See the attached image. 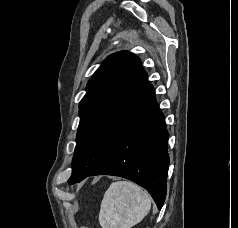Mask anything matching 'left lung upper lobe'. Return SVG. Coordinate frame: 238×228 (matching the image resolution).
<instances>
[{"label": "left lung upper lobe", "mask_w": 238, "mask_h": 228, "mask_svg": "<svg viewBox=\"0 0 238 228\" xmlns=\"http://www.w3.org/2000/svg\"><path fill=\"white\" fill-rule=\"evenodd\" d=\"M148 85L147 74L134 54L121 51L104 60L89 80L79 104L71 176L91 172L106 157Z\"/></svg>", "instance_id": "5c2ea615"}]
</instances>
